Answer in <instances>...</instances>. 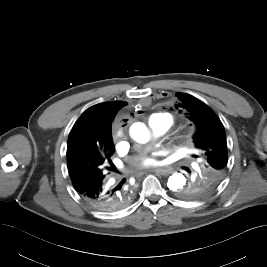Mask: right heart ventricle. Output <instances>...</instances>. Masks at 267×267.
Here are the masks:
<instances>
[{
	"instance_id": "e07e8e85",
	"label": "right heart ventricle",
	"mask_w": 267,
	"mask_h": 267,
	"mask_svg": "<svg viewBox=\"0 0 267 267\" xmlns=\"http://www.w3.org/2000/svg\"><path fill=\"white\" fill-rule=\"evenodd\" d=\"M163 115H166L165 113H158V114H154L153 116L150 117V119L152 118H157V117H160V116H163ZM149 119V120H150Z\"/></svg>"
}]
</instances>
